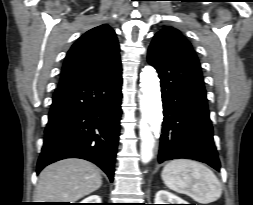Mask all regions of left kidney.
Returning <instances> with one entry per match:
<instances>
[{"mask_svg":"<svg viewBox=\"0 0 253 205\" xmlns=\"http://www.w3.org/2000/svg\"><path fill=\"white\" fill-rule=\"evenodd\" d=\"M154 201V204H188L185 200L166 190L158 191Z\"/></svg>","mask_w":253,"mask_h":205,"instance_id":"obj_1","label":"left kidney"}]
</instances>
